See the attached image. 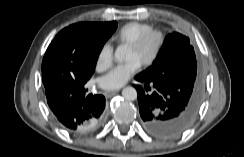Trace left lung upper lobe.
Returning <instances> with one entry per match:
<instances>
[{
    "label": "left lung upper lobe",
    "instance_id": "obj_1",
    "mask_svg": "<svg viewBox=\"0 0 244 157\" xmlns=\"http://www.w3.org/2000/svg\"><path fill=\"white\" fill-rule=\"evenodd\" d=\"M139 75L158 80L171 93L199 107L203 84L188 37L176 32L169 34L153 64Z\"/></svg>",
    "mask_w": 244,
    "mask_h": 157
}]
</instances>
